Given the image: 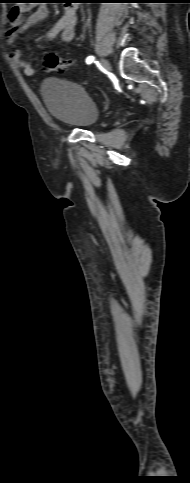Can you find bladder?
I'll list each match as a JSON object with an SVG mask.
<instances>
[{
    "label": "bladder",
    "instance_id": "31cf9c89",
    "mask_svg": "<svg viewBox=\"0 0 190 483\" xmlns=\"http://www.w3.org/2000/svg\"><path fill=\"white\" fill-rule=\"evenodd\" d=\"M40 92L47 110L56 121L80 129L96 124L99 117L97 106L80 85L49 78L42 84Z\"/></svg>",
    "mask_w": 190,
    "mask_h": 483
}]
</instances>
